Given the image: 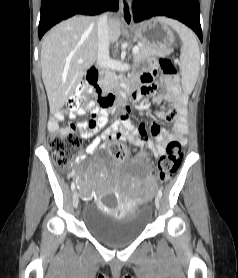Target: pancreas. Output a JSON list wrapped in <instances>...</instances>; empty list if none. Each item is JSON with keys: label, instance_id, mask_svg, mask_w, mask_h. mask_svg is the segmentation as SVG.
I'll use <instances>...</instances> for the list:
<instances>
[{"label": "pancreas", "instance_id": "1", "mask_svg": "<svg viewBox=\"0 0 238 278\" xmlns=\"http://www.w3.org/2000/svg\"><path fill=\"white\" fill-rule=\"evenodd\" d=\"M170 52L171 49H158L154 46L141 43L139 45V51L134 55V62L137 63L150 56H166ZM119 79L120 77L114 71L107 70L100 83L105 89L112 90L118 86Z\"/></svg>", "mask_w": 238, "mask_h": 278}]
</instances>
